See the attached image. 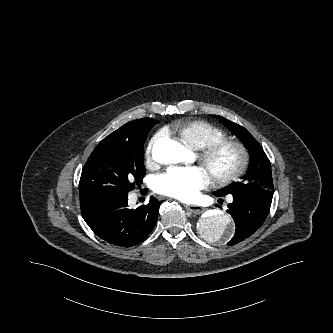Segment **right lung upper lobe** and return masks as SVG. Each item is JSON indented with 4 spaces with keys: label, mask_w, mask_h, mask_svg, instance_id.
<instances>
[{
    "label": "right lung upper lobe",
    "mask_w": 333,
    "mask_h": 333,
    "mask_svg": "<svg viewBox=\"0 0 333 333\" xmlns=\"http://www.w3.org/2000/svg\"><path fill=\"white\" fill-rule=\"evenodd\" d=\"M142 124V120L139 119L131 121L108 135L105 139H103L100 143H112V144H128L135 145L138 143L141 136L140 126Z\"/></svg>",
    "instance_id": "right-lung-upper-lobe-1"
}]
</instances>
